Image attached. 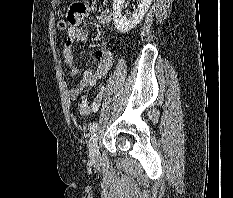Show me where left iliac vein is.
<instances>
[{
    "label": "left iliac vein",
    "instance_id": "1",
    "mask_svg": "<svg viewBox=\"0 0 233 198\" xmlns=\"http://www.w3.org/2000/svg\"><path fill=\"white\" fill-rule=\"evenodd\" d=\"M90 158L93 162H97L100 159L99 146H98V138L94 134L90 140Z\"/></svg>",
    "mask_w": 233,
    "mask_h": 198
}]
</instances>
